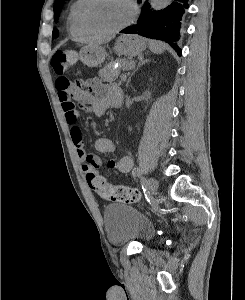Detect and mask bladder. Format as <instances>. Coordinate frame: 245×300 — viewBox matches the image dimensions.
I'll return each mask as SVG.
<instances>
[{
  "instance_id": "1",
  "label": "bladder",
  "mask_w": 245,
  "mask_h": 300,
  "mask_svg": "<svg viewBox=\"0 0 245 300\" xmlns=\"http://www.w3.org/2000/svg\"><path fill=\"white\" fill-rule=\"evenodd\" d=\"M104 227L108 241L116 246L134 241L145 243L155 233L149 219L126 204H111L105 208Z\"/></svg>"
}]
</instances>
